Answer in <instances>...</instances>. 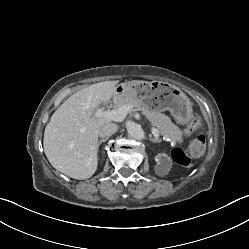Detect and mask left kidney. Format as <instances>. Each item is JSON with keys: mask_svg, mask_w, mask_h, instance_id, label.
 <instances>
[{"mask_svg": "<svg viewBox=\"0 0 249 249\" xmlns=\"http://www.w3.org/2000/svg\"><path fill=\"white\" fill-rule=\"evenodd\" d=\"M157 165L155 167V172L158 176H165L168 174L172 167V162L165 151H160L155 157Z\"/></svg>", "mask_w": 249, "mask_h": 249, "instance_id": "obj_1", "label": "left kidney"}]
</instances>
